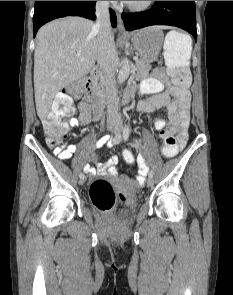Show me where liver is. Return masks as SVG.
Here are the masks:
<instances>
[{
	"instance_id": "6515ba94",
	"label": "liver",
	"mask_w": 233,
	"mask_h": 295,
	"mask_svg": "<svg viewBox=\"0 0 233 295\" xmlns=\"http://www.w3.org/2000/svg\"><path fill=\"white\" fill-rule=\"evenodd\" d=\"M36 40L35 104L38 117L44 120L55 95L67 85L85 77L94 67L98 59V31L93 21L70 16L42 26ZM82 58L84 61H81Z\"/></svg>"
}]
</instances>
